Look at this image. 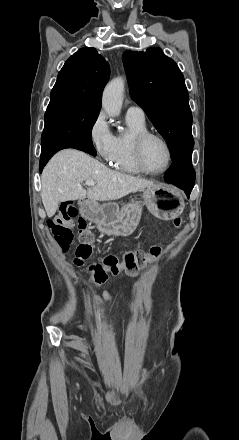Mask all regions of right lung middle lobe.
Instances as JSON below:
<instances>
[{
  "mask_svg": "<svg viewBox=\"0 0 239 440\" xmlns=\"http://www.w3.org/2000/svg\"><path fill=\"white\" fill-rule=\"evenodd\" d=\"M98 114L65 105L48 106L41 136L42 152L70 139H82L92 144L91 131Z\"/></svg>",
  "mask_w": 239,
  "mask_h": 440,
  "instance_id": "right-lung-middle-lobe-1",
  "label": "right lung middle lobe"
}]
</instances>
